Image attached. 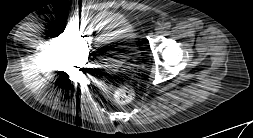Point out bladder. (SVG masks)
Wrapping results in <instances>:
<instances>
[{
  "mask_svg": "<svg viewBox=\"0 0 253 138\" xmlns=\"http://www.w3.org/2000/svg\"><path fill=\"white\" fill-rule=\"evenodd\" d=\"M101 44L110 49H122L132 35L130 25L119 18L110 19L100 28ZM114 45V48H113Z\"/></svg>",
  "mask_w": 253,
  "mask_h": 138,
  "instance_id": "bladder-1",
  "label": "bladder"
}]
</instances>
